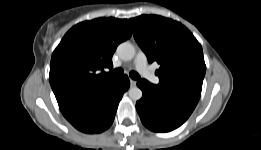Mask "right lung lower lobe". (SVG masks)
<instances>
[{
	"label": "right lung lower lobe",
	"mask_w": 261,
	"mask_h": 150,
	"mask_svg": "<svg viewBox=\"0 0 261 150\" xmlns=\"http://www.w3.org/2000/svg\"><path fill=\"white\" fill-rule=\"evenodd\" d=\"M130 81L126 75L118 84L103 95L81 105L65 118L78 130L85 133H100L111 126L115 113Z\"/></svg>",
	"instance_id": "right-lung-lower-lobe-1"
}]
</instances>
